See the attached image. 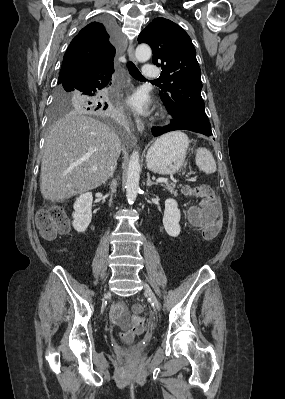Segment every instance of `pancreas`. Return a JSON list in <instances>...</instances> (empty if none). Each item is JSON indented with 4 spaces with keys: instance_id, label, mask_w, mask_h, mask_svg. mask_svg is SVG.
I'll return each instance as SVG.
<instances>
[{
    "instance_id": "1",
    "label": "pancreas",
    "mask_w": 285,
    "mask_h": 399,
    "mask_svg": "<svg viewBox=\"0 0 285 399\" xmlns=\"http://www.w3.org/2000/svg\"><path fill=\"white\" fill-rule=\"evenodd\" d=\"M165 189L168 190L170 193L176 195L177 191L175 190L176 184L175 183H165Z\"/></svg>"
}]
</instances>
